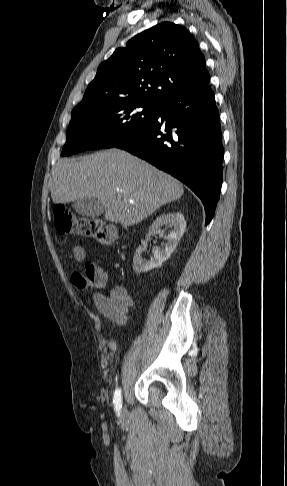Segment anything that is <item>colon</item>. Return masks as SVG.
Instances as JSON below:
<instances>
[{"mask_svg": "<svg viewBox=\"0 0 287 486\" xmlns=\"http://www.w3.org/2000/svg\"><path fill=\"white\" fill-rule=\"evenodd\" d=\"M54 226L59 234L85 236L101 244H111L116 240L115 229L104 220L76 216L63 206L54 209ZM73 282L80 289L92 291L104 287L107 277L99 267L87 263L82 272L73 275Z\"/></svg>", "mask_w": 287, "mask_h": 486, "instance_id": "1", "label": "colon"}]
</instances>
